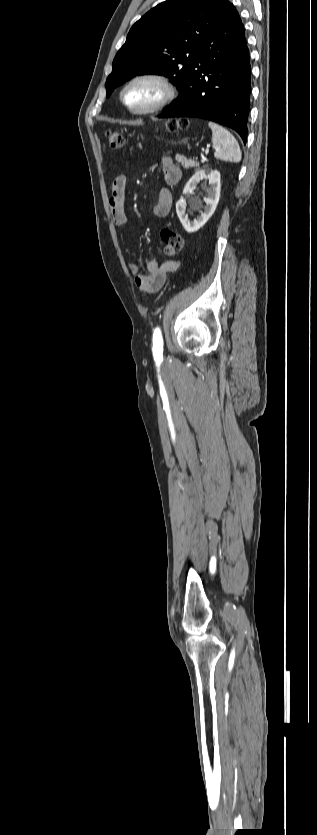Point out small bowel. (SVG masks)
Returning <instances> with one entry per match:
<instances>
[{
  "instance_id": "small-bowel-1",
  "label": "small bowel",
  "mask_w": 317,
  "mask_h": 835,
  "mask_svg": "<svg viewBox=\"0 0 317 835\" xmlns=\"http://www.w3.org/2000/svg\"><path fill=\"white\" fill-rule=\"evenodd\" d=\"M162 172L165 186L160 189L158 201L153 207V212L158 217H165L169 214L172 207V194L168 186L177 184L182 175L181 169L169 155L165 156L162 160ZM125 194L126 177L124 175H118L112 182L109 206L113 222L119 228L125 226L127 223ZM181 262V258L164 261L148 259L145 261L146 273L140 272V265L137 263H130L129 268L134 275L137 287L142 291L151 293L161 288L167 274L176 271L180 267Z\"/></svg>"
}]
</instances>
